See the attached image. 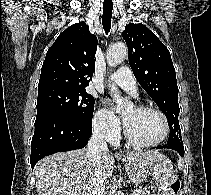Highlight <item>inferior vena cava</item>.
<instances>
[{"instance_id":"inferior-vena-cava-1","label":"inferior vena cava","mask_w":211,"mask_h":195,"mask_svg":"<svg viewBox=\"0 0 211 195\" xmlns=\"http://www.w3.org/2000/svg\"><path fill=\"white\" fill-rule=\"evenodd\" d=\"M108 150L105 141V130L98 126L94 128L93 134L88 143L87 157L90 158L94 164V173L89 181L88 195H105V182L101 173L102 168V153Z\"/></svg>"}]
</instances>
